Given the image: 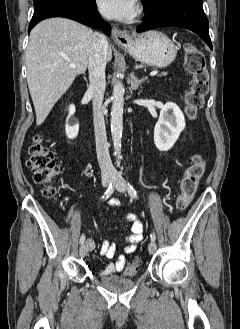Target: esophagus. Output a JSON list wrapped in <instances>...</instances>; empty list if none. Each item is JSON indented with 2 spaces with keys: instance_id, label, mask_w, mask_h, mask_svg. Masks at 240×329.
Here are the masks:
<instances>
[{
  "instance_id": "obj_1",
  "label": "esophagus",
  "mask_w": 240,
  "mask_h": 329,
  "mask_svg": "<svg viewBox=\"0 0 240 329\" xmlns=\"http://www.w3.org/2000/svg\"><path fill=\"white\" fill-rule=\"evenodd\" d=\"M112 38L115 41V43L120 46L127 48L131 45V36L126 31H121L116 27L112 28Z\"/></svg>"
}]
</instances>
